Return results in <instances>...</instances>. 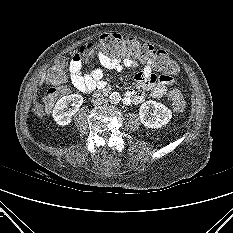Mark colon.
<instances>
[{
    "label": "colon",
    "instance_id": "obj_1",
    "mask_svg": "<svg viewBox=\"0 0 233 233\" xmlns=\"http://www.w3.org/2000/svg\"><path fill=\"white\" fill-rule=\"evenodd\" d=\"M100 51L112 56L123 54L138 59L150 57L157 70L166 75L174 74L178 70L177 63L166 52L155 49L151 45L139 43L134 39H123L115 33L104 34L97 43L82 46L78 54L82 60L90 62ZM64 66L65 60L59 58L48 73L47 82L50 87L45 99L47 110L53 107L59 95L67 93V88L64 86ZM167 99L177 114L183 115L185 113L186 102L179 90L170 89Z\"/></svg>",
    "mask_w": 233,
    "mask_h": 233
}]
</instances>
